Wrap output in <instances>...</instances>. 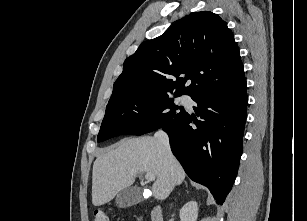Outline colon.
Returning a JSON list of instances; mask_svg holds the SVG:
<instances>
[{
    "instance_id": "obj_1",
    "label": "colon",
    "mask_w": 307,
    "mask_h": 221,
    "mask_svg": "<svg viewBox=\"0 0 307 221\" xmlns=\"http://www.w3.org/2000/svg\"><path fill=\"white\" fill-rule=\"evenodd\" d=\"M93 221H109V216L104 209H97L94 212Z\"/></svg>"
}]
</instances>
